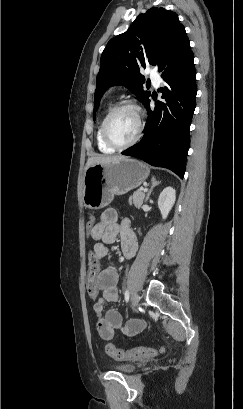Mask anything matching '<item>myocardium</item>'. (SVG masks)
<instances>
[{
  "mask_svg": "<svg viewBox=\"0 0 243 409\" xmlns=\"http://www.w3.org/2000/svg\"><path fill=\"white\" fill-rule=\"evenodd\" d=\"M125 108H129L135 112L136 117H137L138 130H137L136 135L130 141L125 142V143H117L110 136L109 123L117 112ZM143 130H144V121H143V115H142V110L140 106L133 101L125 100V101H122L116 104L107 113L106 117L104 118L103 125H102V136L107 145H109L110 147L116 150H121V149L134 145L141 138L143 134Z\"/></svg>",
  "mask_w": 243,
  "mask_h": 409,
  "instance_id": "f54148a6",
  "label": "myocardium"
}]
</instances>
